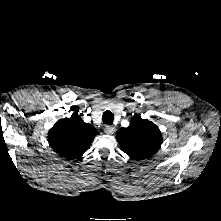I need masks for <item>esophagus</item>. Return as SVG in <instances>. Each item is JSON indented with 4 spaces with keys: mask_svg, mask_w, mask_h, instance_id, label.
I'll return each instance as SVG.
<instances>
[{
    "mask_svg": "<svg viewBox=\"0 0 221 221\" xmlns=\"http://www.w3.org/2000/svg\"><path fill=\"white\" fill-rule=\"evenodd\" d=\"M104 131L107 133V134H114V132L116 131L115 127L113 126H110V125H106L105 128H104Z\"/></svg>",
    "mask_w": 221,
    "mask_h": 221,
    "instance_id": "obj_1",
    "label": "esophagus"
}]
</instances>
